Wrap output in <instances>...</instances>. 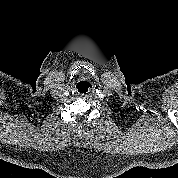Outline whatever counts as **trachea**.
Masks as SVG:
<instances>
[{
  "instance_id": "obj_1",
  "label": "trachea",
  "mask_w": 178,
  "mask_h": 178,
  "mask_svg": "<svg viewBox=\"0 0 178 178\" xmlns=\"http://www.w3.org/2000/svg\"><path fill=\"white\" fill-rule=\"evenodd\" d=\"M88 83H89V82H86V81H85V82H82V81H81V82H79V83L76 85V87H79V88H82V87H83V88H85Z\"/></svg>"
}]
</instances>
